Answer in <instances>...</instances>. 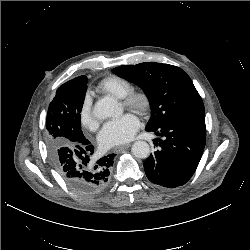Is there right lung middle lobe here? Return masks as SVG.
<instances>
[{"label":"right lung middle lobe","instance_id":"dd1d6c3e","mask_svg":"<svg viewBox=\"0 0 250 250\" xmlns=\"http://www.w3.org/2000/svg\"><path fill=\"white\" fill-rule=\"evenodd\" d=\"M88 79L79 76L61 85L51 101L46 118L45 139L50 154L63 146L72 147L85 137L81 115Z\"/></svg>","mask_w":250,"mask_h":250}]
</instances>
